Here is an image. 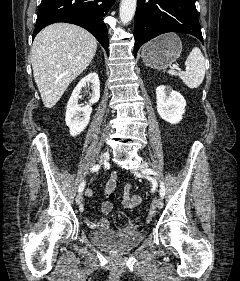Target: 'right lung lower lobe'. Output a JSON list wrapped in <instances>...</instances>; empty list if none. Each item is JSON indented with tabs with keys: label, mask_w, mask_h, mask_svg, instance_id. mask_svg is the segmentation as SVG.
Segmentation results:
<instances>
[{
	"label": "right lung lower lobe",
	"mask_w": 240,
	"mask_h": 281,
	"mask_svg": "<svg viewBox=\"0 0 240 281\" xmlns=\"http://www.w3.org/2000/svg\"><path fill=\"white\" fill-rule=\"evenodd\" d=\"M114 0H42L33 38L52 23L66 22L88 30L108 54V32L103 18Z\"/></svg>",
	"instance_id": "98d812e1"
}]
</instances>
